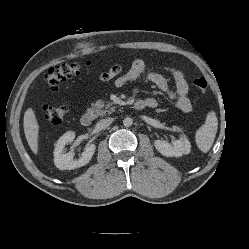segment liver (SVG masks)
I'll list each match as a JSON object with an SVG mask.
<instances>
[{"label": "liver", "instance_id": "1", "mask_svg": "<svg viewBox=\"0 0 249 249\" xmlns=\"http://www.w3.org/2000/svg\"><path fill=\"white\" fill-rule=\"evenodd\" d=\"M24 133L28 145L34 154L38 153V135L39 125L35 112L32 108H28L24 113L23 119Z\"/></svg>", "mask_w": 249, "mask_h": 249}]
</instances>
